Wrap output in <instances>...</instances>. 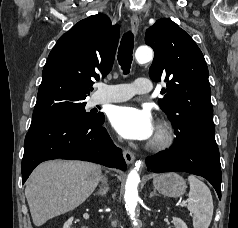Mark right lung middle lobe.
Segmentation results:
<instances>
[{"mask_svg":"<svg viewBox=\"0 0 238 228\" xmlns=\"http://www.w3.org/2000/svg\"><path fill=\"white\" fill-rule=\"evenodd\" d=\"M86 102H81L69 106H65L51 114L37 117V118H48V117H66L74 120H80L85 122L96 121L103 116L102 113H95L94 111L87 112L85 110ZM35 118V117H33Z\"/></svg>","mask_w":238,"mask_h":228,"instance_id":"obj_1","label":"right lung middle lobe"}]
</instances>
